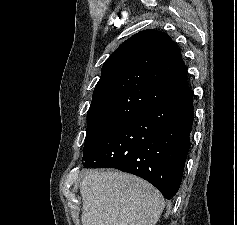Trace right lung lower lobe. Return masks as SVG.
Masks as SVG:
<instances>
[{"mask_svg": "<svg viewBox=\"0 0 237 225\" xmlns=\"http://www.w3.org/2000/svg\"><path fill=\"white\" fill-rule=\"evenodd\" d=\"M193 118L188 89L136 114L84 157L83 166L132 173L172 199L182 181Z\"/></svg>", "mask_w": 237, "mask_h": 225, "instance_id": "98d812e1", "label": "right lung lower lobe"}]
</instances>
